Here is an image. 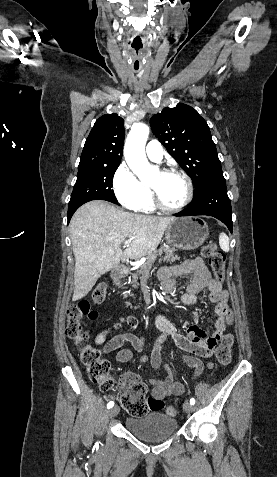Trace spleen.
Returning <instances> with one entry per match:
<instances>
[{"mask_svg": "<svg viewBox=\"0 0 277 477\" xmlns=\"http://www.w3.org/2000/svg\"><path fill=\"white\" fill-rule=\"evenodd\" d=\"M219 245L224 252L229 251V237L225 233L219 235Z\"/></svg>", "mask_w": 277, "mask_h": 477, "instance_id": "1", "label": "spleen"}]
</instances>
